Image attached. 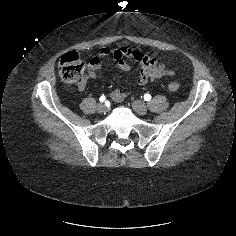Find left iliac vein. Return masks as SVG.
<instances>
[{"instance_id": "left-iliac-vein-1", "label": "left iliac vein", "mask_w": 236, "mask_h": 236, "mask_svg": "<svg viewBox=\"0 0 236 236\" xmlns=\"http://www.w3.org/2000/svg\"><path fill=\"white\" fill-rule=\"evenodd\" d=\"M132 107L135 110V112L140 115H145L147 113V106L139 100L133 101Z\"/></svg>"}]
</instances>
